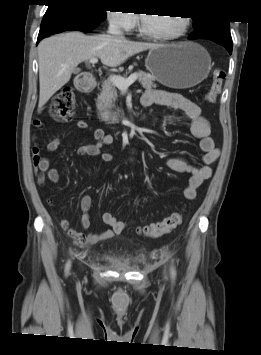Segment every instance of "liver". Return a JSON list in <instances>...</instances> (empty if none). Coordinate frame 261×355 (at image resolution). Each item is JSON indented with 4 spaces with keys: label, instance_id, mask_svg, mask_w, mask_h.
<instances>
[{
    "label": "liver",
    "instance_id": "liver-1",
    "mask_svg": "<svg viewBox=\"0 0 261 355\" xmlns=\"http://www.w3.org/2000/svg\"><path fill=\"white\" fill-rule=\"evenodd\" d=\"M158 46L106 34L86 36L76 31L42 40L38 45L39 110L68 83L72 72L81 62L96 57L106 66L117 67L129 57Z\"/></svg>",
    "mask_w": 261,
    "mask_h": 355
}]
</instances>
